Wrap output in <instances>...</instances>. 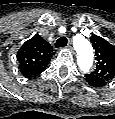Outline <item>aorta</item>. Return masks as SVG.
<instances>
[{
    "label": "aorta",
    "instance_id": "aorta-1",
    "mask_svg": "<svg viewBox=\"0 0 115 119\" xmlns=\"http://www.w3.org/2000/svg\"><path fill=\"white\" fill-rule=\"evenodd\" d=\"M74 47L77 51V63L82 72L86 73L93 64L94 54L93 48L88 40L83 37L74 39Z\"/></svg>",
    "mask_w": 115,
    "mask_h": 119
}]
</instances>
